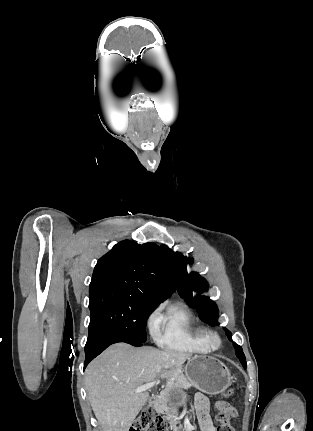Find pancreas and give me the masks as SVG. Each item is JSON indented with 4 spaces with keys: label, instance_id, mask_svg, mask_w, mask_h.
Returning <instances> with one entry per match:
<instances>
[{
    "label": "pancreas",
    "instance_id": "obj_1",
    "mask_svg": "<svg viewBox=\"0 0 313 431\" xmlns=\"http://www.w3.org/2000/svg\"><path fill=\"white\" fill-rule=\"evenodd\" d=\"M192 382L183 374L173 378L167 388L161 393L156 400V410L158 413L164 414L165 418L175 427L179 423L178 409L169 399L170 395L175 390L183 391L191 388Z\"/></svg>",
    "mask_w": 313,
    "mask_h": 431
}]
</instances>
